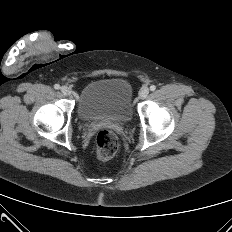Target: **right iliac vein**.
<instances>
[{
  "label": "right iliac vein",
  "mask_w": 232,
  "mask_h": 232,
  "mask_svg": "<svg viewBox=\"0 0 232 232\" xmlns=\"http://www.w3.org/2000/svg\"><path fill=\"white\" fill-rule=\"evenodd\" d=\"M60 90H61V93H62L63 95H65V96L70 95V93H71L70 88L67 87V86H62V87L60 88Z\"/></svg>",
  "instance_id": "right-iliac-vein-1"
}]
</instances>
